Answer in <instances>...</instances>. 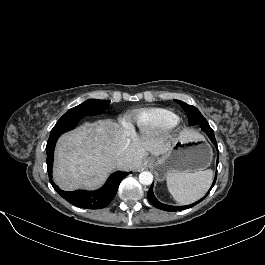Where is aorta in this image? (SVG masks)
Here are the masks:
<instances>
[{
	"label": "aorta",
	"instance_id": "obj_1",
	"mask_svg": "<svg viewBox=\"0 0 265 265\" xmlns=\"http://www.w3.org/2000/svg\"><path fill=\"white\" fill-rule=\"evenodd\" d=\"M139 182L142 185H150L153 182V175L149 171H143L139 174Z\"/></svg>",
	"mask_w": 265,
	"mask_h": 265
}]
</instances>
